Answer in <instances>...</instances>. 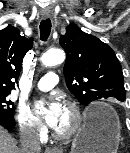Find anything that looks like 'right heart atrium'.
Instances as JSON below:
<instances>
[{
	"label": "right heart atrium",
	"instance_id": "d8ad5b80",
	"mask_svg": "<svg viewBox=\"0 0 130 153\" xmlns=\"http://www.w3.org/2000/svg\"><path fill=\"white\" fill-rule=\"evenodd\" d=\"M15 119L22 136L35 140L43 138L45 127L41 120L28 107L19 106Z\"/></svg>",
	"mask_w": 130,
	"mask_h": 153
}]
</instances>
